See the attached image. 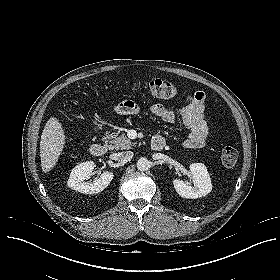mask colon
<instances>
[{"label":"colon","instance_id":"colon-1","mask_svg":"<svg viewBox=\"0 0 280 280\" xmlns=\"http://www.w3.org/2000/svg\"><path fill=\"white\" fill-rule=\"evenodd\" d=\"M146 91L156 97L168 99L175 95L174 85L163 79H155L146 85ZM134 105L130 102H124L120 105L122 115H130L133 113ZM238 151L234 147H225L221 153V161L224 166L232 167L237 162Z\"/></svg>","mask_w":280,"mask_h":280}]
</instances>
